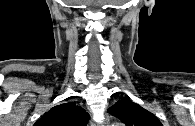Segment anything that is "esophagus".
I'll list each match as a JSON object with an SVG mask.
<instances>
[{"label": "esophagus", "instance_id": "obj_1", "mask_svg": "<svg viewBox=\"0 0 195 126\" xmlns=\"http://www.w3.org/2000/svg\"><path fill=\"white\" fill-rule=\"evenodd\" d=\"M110 125V119L108 116H106L105 121L102 123V126H109Z\"/></svg>", "mask_w": 195, "mask_h": 126}]
</instances>
